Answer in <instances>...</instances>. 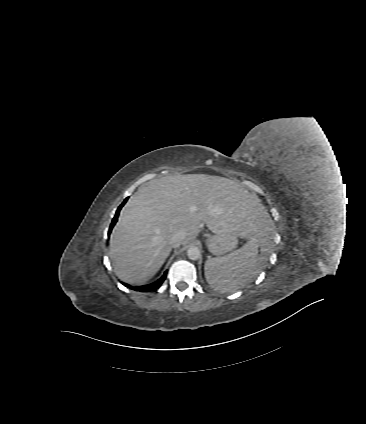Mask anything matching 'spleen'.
Listing matches in <instances>:
<instances>
[{
	"label": "spleen",
	"instance_id": "1",
	"mask_svg": "<svg viewBox=\"0 0 366 424\" xmlns=\"http://www.w3.org/2000/svg\"><path fill=\"white\" fill-rule=\"evenodd\" d=\"M259 239L251 238L240 249L222 258H210L205 263L208 284L220 292H233L244 287L255 276Z\"/></svg>",
	"mask_w": 366,
	"mask_h": 424
}]
</instances>
